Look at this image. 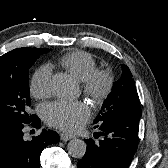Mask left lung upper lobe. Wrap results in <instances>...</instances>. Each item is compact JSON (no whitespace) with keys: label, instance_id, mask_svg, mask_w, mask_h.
<instances>
[{"label":"left lung upper lobe","instance_id":"obj_1","mask_svg":"<svg viewBox=\"0 0 168 168\" xmlns=\"http://www.w3.org/2000/svg\"><path fill=\"white\" fill-rule=\"evenodd\" d=\"M121 67L122 76L114 83L112 92L103 103L94 124L119 116H127L136 121L140 120L141 107L132 73L126 65Z\"/></svg>","mask_w":168,"mask_h":168}]
</instances>
